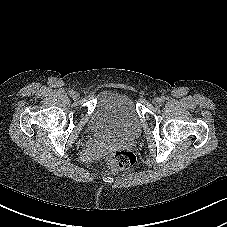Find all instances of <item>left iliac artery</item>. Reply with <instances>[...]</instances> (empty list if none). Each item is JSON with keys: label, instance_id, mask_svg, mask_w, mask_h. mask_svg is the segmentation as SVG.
I'll list each match as a JSON object with an SVG mask.
<instances>
[{"label": "left iliac artery", "instance_id": "44dca946", "mask_svg": "<svg viewBox=\"0 0 227 227\" xmlns=\"http://www.w3.org/2000/svg\"><path fill=\"white\" fill-rule=\"evenodd\" d=\"M161 100H162V102H163V101H166L167 98L163 96V97H161Z\"/></svg>", "mask_w": 227, "mask_h": 227}]
</instances>
